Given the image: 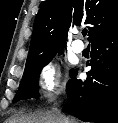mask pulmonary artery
<instances>
[{
    "mask_svg": "<svg viewBox=\"0 0 118 123\" xmlns=\"http://www.w3.org/2000/svg\"><path fill=\"white\" fill-rule=\"evenodd\" d=\"M85 49V45L82 41L80 40H75L73 43H72V50L75 52V53H82Z\"/></svg>",
    "mask_w": 118,
    "mask_h": 123,
    "instance_id": "1",
    "label": "pulmonary artery"
}]
</instances>
